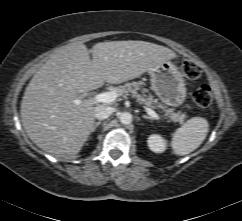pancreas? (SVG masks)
I'll return each instance as SVG.
<instances>
[{
    "label": "pancreas",
    "instance_id": "pancreas-1",
    "mask_svg": "<svg viewBox=\"0 0 242 221\" xmlns=\"http://www.w3.org/2000/svg\"><path fill=\"white\" fill-rule=\"evenodd\" d=\"M144 83L139 82H131V83H125L123 86H119L114 88L115 92L118 95H124L128 96L131 94L133 97H136L137 100L144 104L146 107L152 108V109H161L165 113V117L169 118L172 122H180L182 123L186 115L184 113H181L180 111L175 113L173 112L174 109L172 108H166L162 104L158 103V100L154 98L152 94L149 93V90L146 88H143ZM138 92H140L142 95H140Z\"/></svg>",
    "mask_w": 242,
    "mask_h": 221
}]
</instances>
